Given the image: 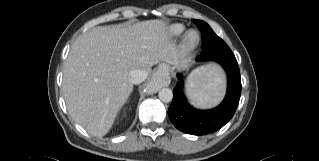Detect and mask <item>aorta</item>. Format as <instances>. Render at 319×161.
I'll list each match as a JSON object with an SVG mask.
<instances>
[{
    "label": "aorta",
    "mask_w": 319,
    "mask_h": 161,
    "mask_svg": "<svg viewBox=\"0 0 319 161\" xmlns=\"http://www.w3.org/2000/svg\"><path fill=\"white\" fill-rule=\"evenodd\" d=\"M159 99L163 102H170L173 98V93H172V90L169 89V88H162L160 91H159Z\"/></svg>",
    "instance_id": "762f6f07"
}]
</instances>
